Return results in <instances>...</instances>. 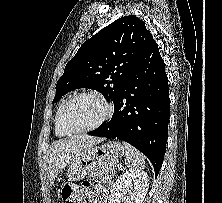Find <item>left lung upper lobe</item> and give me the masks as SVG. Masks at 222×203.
I'll return each mask as SVG.
<instances>
[{
    "label": "left lung upper lobe",
    "instance_id": "5c2ea615",
    "mask_svg": "<svg viewBox=\"0 0 222 203\" xmlns=\"http://www.w3.org/2000/svg\"><path fill=\"white\" fill-rule=\"evenodd\" d=\"M151 33L134 15L114 21L86 40L66 64L53 103L79 88L94 89L114 101L145 51Z\"/></svg>",
    "mask_w": 222,
    "mask_h": 203
}]
</instances>
